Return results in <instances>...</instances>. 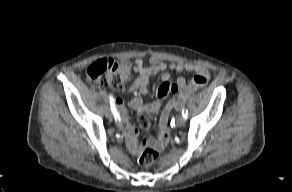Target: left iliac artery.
<instances>
[{
    "label": "left iliac artery",
    "instance_id": "1",
    "mask_svg": "<svg viewBox=\"0 0 292 192\" xmlns=\"http://www.w3.org/2000/svg\"><path fill=\"white\" fill-rule=\"evenodd\" d=\"M182 116H183L184 119H187V117H188V111H187V109H183L182 110Z\"/></svg>",
    "mask_w": 292,
    "mask_h": 192
}]
</instances>
